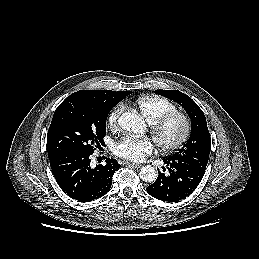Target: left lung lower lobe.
I'll use <instances>...</instances> for the list:
<instances>
[{"instance_id":"1","label":"left lung lower lobe","mask_w":259,"mask_h":259,"mask_svg":"<svg viewBox=\"0 0 259 259\" xmlns=\"http://www.w3.org/2000/svg\"><path fill=\"white\" fill-rule=\"evenodd\" d=\"M164 162L168 165L170 175L166 176L158 170L159 176L147 187V192L167 202H177L189 196L199 185L205 171L183 161L165 158Z\"/></svg>"}]
</instances>
